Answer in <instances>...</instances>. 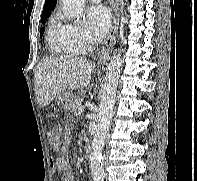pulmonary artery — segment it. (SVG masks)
<instances>
[{"label":"pulmonary artery","mask_w":197,"mask_h":181,"mask_svg":"<svg viewBox=\"0 0 197 181\" xmlns=\"http://www.w3.org/2000/svg\"><path fill=\"white\" fill-rule=\"evenodd\" d=\"M92 3H99L101 0H89Z\"/></svg>","instance_id":"pulmonary-artery-1"}]
</instances>
